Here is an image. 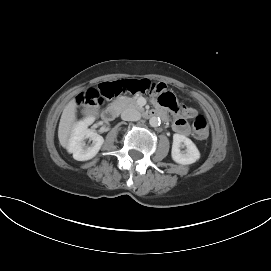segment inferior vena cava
Masks as SVG:
<instances>
[{"label": "inferior vena cava", "mask_w": 271, "mask_h": 271, "mask_svg": "<svg viewBox=\"0 0 271 271\" xmlns=\"http://www.w3.org/2000/svg\"><path fill=\"white\" fill-rule=\"evenodd\" d=\"M121 118L125 121H138L141 118V114L135 108H127L122 112Z\"/></svg>", "instance_id": "1"}]
</instances>
